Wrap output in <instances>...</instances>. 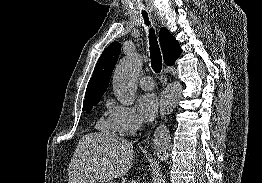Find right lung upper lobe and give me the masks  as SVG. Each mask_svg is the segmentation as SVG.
Listing matches in <instances>:
<instances>
[{
    "label": "right lung upper lobe",
    "mask_w": 262,
    "mask_h": 183,
    "mask_svg": "<svg viewBox=\"0 0 262 183\" xmlns=\"http://www.w3.org/2000/svg\"><path fill=\"white\" fill-rule=\"evenodd\" d=\"M159 39L164 62L166 65L171 66L181 55V47L173 35L164 27L160 29ZM120 51V43L111 44L103 51L88 83L85 101L100 99V97L103 96L108 87Z\"/></svg>",
    "instance_id": "right-lung-upper-lobe-1"
}]
</instances>
